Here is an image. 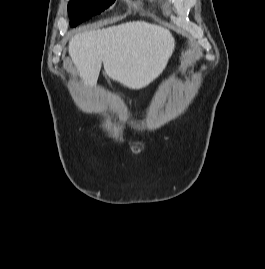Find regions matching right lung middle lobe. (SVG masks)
<instances>
[{"label":"right lung middle lobe","mask_w":265,"mask_h":269,"mask_svg":"<svg viewBox=\"0 0 265 269\" xmlns=\"http://www.w3.org/2000/svg\"><path fill=\"white\" fill-rule=\"evenodd\" d=\"M115 0H71L68 4L70 24L75 26L84 20L99 14Z\"/></svg>","instance_id":"obj_1"}]
</instances>
